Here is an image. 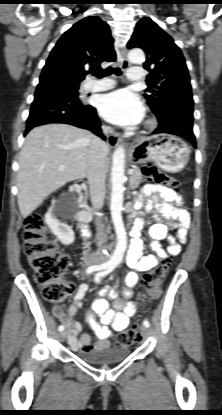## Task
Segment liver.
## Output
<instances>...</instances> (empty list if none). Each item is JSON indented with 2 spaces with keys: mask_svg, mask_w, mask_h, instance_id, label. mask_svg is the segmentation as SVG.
<instances>
[{
  "mask_svg": "<svg viewBox=\"0 0 222 415\" xmlns=\"http://www.w3.org/2000/svg\"><path fill=\"white\" fill-rule=\"evenodd\" d=\"M94 138L90 132L67 124L43 125L28 133L17 175L18 206L23 218L52 192L88 176ZM63 165L65 168L59 169Z\"/></svg>",
  "mask_w": 222,
  "mask_h": 415,
  "instance_id": "liver-1",
  "label": "liver"
}]
</instances>
